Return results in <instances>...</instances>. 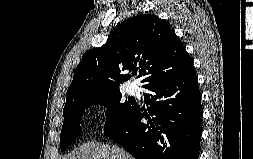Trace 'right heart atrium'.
I'll use <instances>...</instances> for the list:
<instances>
[{"instance_id": "1", "label": "right heart atrium", "mask_w": 253, "mask_h": 159, "mask_svg": "<svg viewBox=\"0 0 253 159\" xmlns=\"http://www.w3.org/2000/svg\"><path fill=\"white\" fill-rule=\"evenodd\" d=\"M109 106L105 102H98L94 106L95 118L100 122L104 123L109 116Z\"/></svg>"}]
</instances>
